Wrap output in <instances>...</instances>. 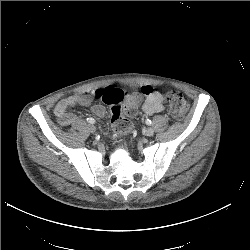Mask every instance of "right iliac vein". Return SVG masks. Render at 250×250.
I'll use <instances>...</instances> for the list:
<instances>
[{"label": "right iliac vein", "mask_w": 250, "mask_h": 250, "mask_svg": "<svg viewBox=\"0 0 250 250\" xmlns=\"http://www.w3.org/2000/svg\"><path fill=\"white\" fill-rule=\"evenodd\" d=\"M88 130L91 132V133H94L96 131V128L95 126L93 125H88Z\"/></svg>", "instance_id": "obj_1"}]
</instances>
